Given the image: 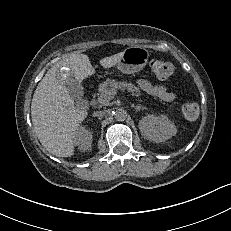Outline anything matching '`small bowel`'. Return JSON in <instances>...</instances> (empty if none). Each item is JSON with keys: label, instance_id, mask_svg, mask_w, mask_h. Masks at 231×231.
I'll return each instance as SVG.
<instances>
[{"label": "small bowel", "instance_id": "c3829d8e", "mask_svg": "<svg viewBox=\"0 0 231 231\" xmlns=\"http://www.w3.org/2000/svg\"><path fill=\"white\" fill-rule=\"evenodd\" d=\"M139 88L144 92L158 97L163 101L170 102L175 99V94L168 87L161 84H154L146 79H140L137 82Z\"/></svg>", "mask_w": 231, "mask_h": 231}]
</instances>
